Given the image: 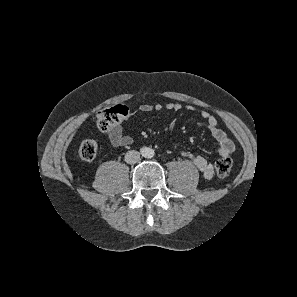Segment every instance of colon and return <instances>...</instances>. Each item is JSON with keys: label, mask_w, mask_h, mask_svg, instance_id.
Masks as SVG:
<instances>
[{"label": "colon", "mask_w": 297, "mask_h": 297, "mask_svg": "<svg viewBox=\"0 0 297 297\" xmlns=\"http://www.w3.org/2000/svg\"><path fill=\"white\" fill-rule=\"evenodd\" d=\"M128 114V108L124 105H116L103 109L97 114V126L101 131L107 132L118 124ZM98 146L93 140H85L79 147V154L83 160L91 161L97 155ZM216 173L219 178L229 175L232 168L230 157H224L216 162Z\"/></svg>", "instance_id": "colon-1"}]
</instances>
